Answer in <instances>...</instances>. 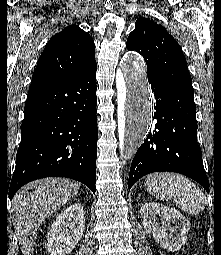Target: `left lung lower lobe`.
Segmentation results:
<instances>
[{
    "mask_svg": "<svg viewBox=\"0 0 221 255\" xmlns=\"http://www.w3.org/2000/svg\"><path fill=\"white\" fill-rule=\"evenodd\" d=\"M148 81L156 98L154 118L157 123L133 158L128 189L146 174L170 171L194 179L209 192L197 143L194 96L153 78Z\"/></svg>",
    "mask_w": 221,
    "mask_h": 255,
    "instance_id": "1",
    "label": "left lung lower lobe"
}]
</instances>
